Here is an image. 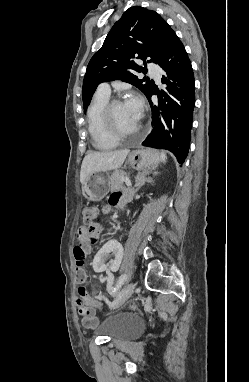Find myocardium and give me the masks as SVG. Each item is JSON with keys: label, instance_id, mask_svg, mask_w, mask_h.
<instances>
[{"label": "myocardium", "instance_id": "myocardium-1", "mask_svg": "<svg viewBox=\"0 0 249 382\" xmlns=\"http://www.w3.org/2000/svg\"><path fill=\"white\" fill-rule=\"evenodd\" d=\"M121 103H123L122 99L113 98L107 102L102 112V121H103V126L105 128V131L107 132L109 136H111L112 138L118 141L121 139L136 136L140 133L142 129V125L140 123L135 131L128 132V133L122 132L116 127L113 120V109L116 105Z\"/></svg>", "mask_w": 249, "mask_h": 382}]
</instances>
